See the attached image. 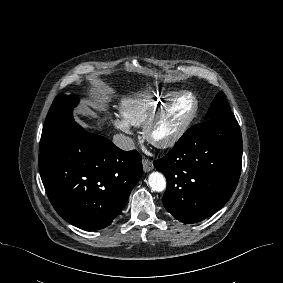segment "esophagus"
<instances>
[{"label": "esophagus", "instance_id": "1", "mask_svg": "<svg viewBox=\"0 0 283 283\" xmlns=\"http://www.w3.org/2000/svg\"><path fill=\"white\" fill-rule=\"evenodd\" d=\"M142 164H143V170L145 172H149L154 168L153 162L150 159L143 158Z\"/></svg>", "mask_w": 283, "mask_h": 283}]
</instances>
